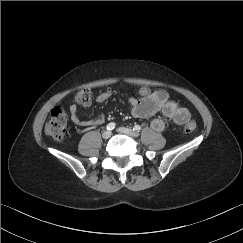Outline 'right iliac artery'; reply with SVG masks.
<instances>
[{
  "label": "right iliac artery",
  "mask_w": 243,
  "mask_h": 243,
  "mask_svg": "<svg viewBox=\"0 0 243 243\" xmlns=\"http://www.w3.org/2000/svg\"><path fill=\"white\" fill-rule=\"evenodd\" d=\"M116 124L114 122H111L109 123L107 126H106V129L107 130H113L115 128Z\"/></svg>",
  "instance_id": "obj_1"
}]
</instances>
